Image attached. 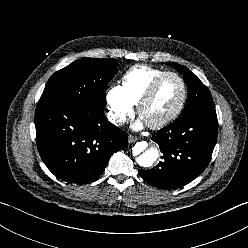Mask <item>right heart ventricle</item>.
Listing matches in <instances>:
<instances>
[{"mask_svg": "<svg viewBox=\"0 0 248 248\" xmlns=\"http://www.w3.org/2000/svg\"><path fill=\"white\" fill-rule=\"evenodd\" d=\"M164 72L151 66H135L123 75L121 88L130 102L137 105L152 81Z\"/></svg>", "mask_w": 248, "mask_h": 248, "instance_id": "obj_1", "label": "right heart ventricle"}]
</instances>
